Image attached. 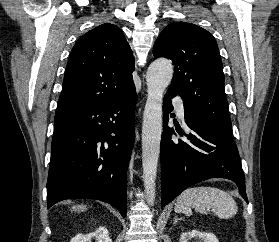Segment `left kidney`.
<instances>
[{
    "mask_svg": "<svg viewBox=\"0 0 279 242\" xmlns=\"http://www.w3.org/2000/svg\"><path fill=\"white\" fill-rule=\"evenodd\" d=\"M193 238H200L203 242H219L213 233L200 232L197 230L182 233L180 242H190Z\"/></svg>",
    "mask_w": 279,
    "mask_h": 242,
    "instance_id": "left-kidney-1",
    "label": "left kidney"
}]
</instances>
